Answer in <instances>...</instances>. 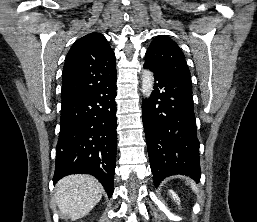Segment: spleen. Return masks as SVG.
I'll use <instances>...</instances> for the list:
<instances>
[{
  "mask_svg": "<svg viewBox=\"0 0 257 222\" xmlns=\"http://www.w3.org/2000/svg\"><path fill=\"white\" fill-rule=\"evenodd\" d=\"M190 184H191L192 190L196 192V186H195V184H194L193 182H190Z\"/></svg>",
  "mask_w": 257,
  "mask_h": 222,
  "instance_id": "3e777b00",
  "label": "spleen"
}]
</instances>
